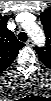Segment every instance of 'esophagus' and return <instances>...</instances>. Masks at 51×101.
I'll list each match as a JSON object with an SVG mask.
<instances>
[{
    "label": "esophagus",
    "mask_w": 51,
    "mask_h": 101,
    "mask_svg": "<svg viewBox=\"0 0 51 101\" xmlns=\"http://www.w3.org/2000/svg\"><path fill=\"white\" fill-rule=\"evenodd\" d=\"M26 45L29 46V47H32L33 46V41L31 39H29L27 42H26Z\"/></svg>",
    "instance_id": "obj_1"
}]
</instances>
